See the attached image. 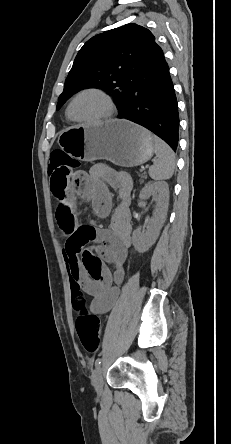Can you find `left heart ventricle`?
<instances>
[{"mask_svg": "<svg viewBox=\"0 0 231 444\" xmlns=\"http://www.w3.org/2000/svg\"><path fill=\"white\" fill-rule=\"evenodd\" d=\"M107 112L105 100L96 93H85L77 98L73 105V113L77 118L93 120Z\"/></svg>", "mask_w": 231, "mask_h": 444, "instance_id": "1", "label": "left heart ventricle"}]
</instances>
